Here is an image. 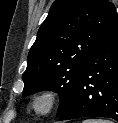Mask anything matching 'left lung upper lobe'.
<instances>
[{
    "label": "left lung upper lobe",
    "instance_id": "5c2ea615",
    "mask_svg": "<svg viewBox=\"0 0 118 123\" xmlns=\"http://www.w3.org/2000/svg\"><path fill=\"white\" fill-rule=\"evenodd\" d=\"M117 20L108 0H56L29 51L23 96L45 89L58 92L60 115L92 51Z\"/></svg>",
    "mask_w": 118,
    "mask_h": 123
}]
</instances>
